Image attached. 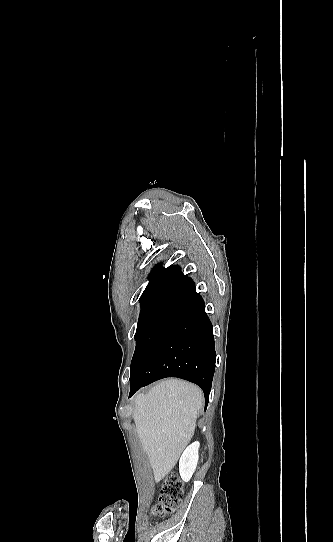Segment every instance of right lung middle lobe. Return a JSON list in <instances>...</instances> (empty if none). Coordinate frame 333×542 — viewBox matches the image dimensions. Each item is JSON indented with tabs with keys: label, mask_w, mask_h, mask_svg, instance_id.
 Returning a JSON list of instances; mask_svg holds the SVG:
<instances>
[{
	"label": "right lung middle lobe",
	"mask_w": 333,
	"mask_h": 542,
	"mask_svg": "<svg viewBox=\"0 0 333 542\" xmlns=\"http://www.w3.org/2000/svg\"><path fill=\"white\" fill-rule=\"evenodd\" d=\"M157 304L158 303H150V304H146V305H141V311H140L137 330H136V334H135L136 346H137V343H138V340H139L140 336L143 333V329L145 327L147 319H148L149 315L151 314V312L153 311V309L155 308V306ZM134 355H135V353H134ZM134 355H133V358H134Z\"/></svg>",
	"instance_id": "dd1d6c3e"
}]
</instances>
